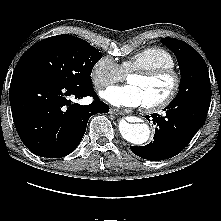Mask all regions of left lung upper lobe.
Returning a JSON list of instances; mask_svg holds the SVG:
<instances>
[{
	"instance_id": "obj_1",
	"label": "left lung upper lobe",
	"mask_w": 221,
	"mask_h": 221,
	"mask_svg": "<svg viewBox=\"0 0 221 221\" xmlns=\"http://www.w3.org/2000/svg\"><path fill=\"white\" fill-rule=\"evenodd\" d=\"M161 42L176 55L181 71L179 92L172 102L188 100L200 92L211 90L207 65L194 48L175 38H163Z\"/></svg>"
}]
</instances>
